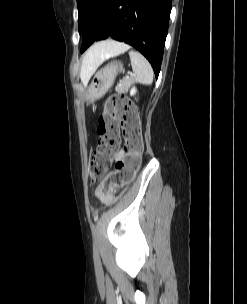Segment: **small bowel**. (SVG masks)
<instances>
[{
  "label": "small bowel",
  "instance_id": "c3829d8e",
  "mask_svg": "<svg viewBox=\"0 0 247 304\" xmlns=\"http://www.w3.org/2000/svg\"><path fill=\"white\" fill-rule=\"evenodd\" d=\"M121 156H122V153L119 154V157H121Z\"/></svg>",
  "mask_w": 247,
  "mask_h": 304
}]
</instances>
